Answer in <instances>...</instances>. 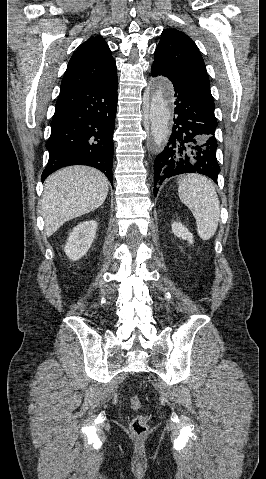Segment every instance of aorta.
<instances>
[{"instance_id": "1", "label": "aorta", "mask_w": 266, "mask_h": 479, "mask_svg": "<svg viewBox=\"0 0 266 479\" xmlns=\"http://www.w3.org/2000/svg\"><path fill=\"white\" fill-rule=\"evenodd\" d=\"M162 83L163 81H159V87L154 91L147 110V115L151 123V133L158 146L168 137V125L171 117Z\"/></svg>"}]
</instances>
